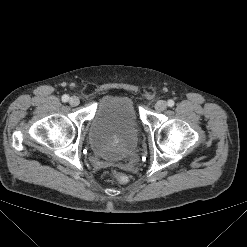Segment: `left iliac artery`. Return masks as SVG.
Masks as SVG:
<instances>
[{
  "mask_svg": "<svg viewBox=\"0 0 247 247\" xmlns=\"http://www.w3.org/2000/svg\"><path fill=\"white\" fill-rule=\"evenodd\" d=\"M174 104H175V102H174L173 100H168V102H167V105H168L169 107L174 106Z\"/></svg>",
  "mask_w": 247,
  "mask_h": 247,
  "instance_id": "left-iliac-artery-1",
  "label": "left iliac artery"
}]
</instances>
